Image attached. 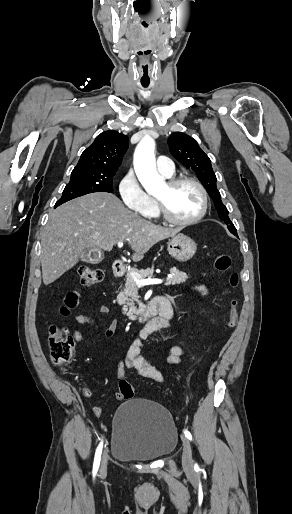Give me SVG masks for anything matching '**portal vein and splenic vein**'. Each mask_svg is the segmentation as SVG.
<instances>
[{"instance_id":"portal-vein-and-splenic-vein-1","label":"portal vein and splenic vein","mask_w":292,"mask_h":514,"mask_svg":"<svg viewBox=\"0 0 292 514\" xmlns=\"http://www.w3.org/2000/svg\"><path fill=\"white\" fill-rule=\"evenodd\" d=\"M123 242H118V248H122ZM131 276L136 282L137 286H149V284H162L163 280H142L140 274L137 272H131Z\"/></svg>"}]
</instances>
